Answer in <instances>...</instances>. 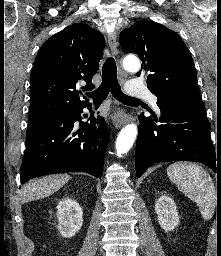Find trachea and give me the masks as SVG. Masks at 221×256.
<instances>
[{"label": "trachea", "mask_w": 221, "mask_h": 256, "mask_svg": "<svg viewBox=\"0 0 221 256\" xmlns=\"http://www.w3.org/2000/svg\"><path fill=\"white\" fill-rule=\"evenodd\" d=\"M111 92L115 99L120 102H134L139 99L125 95L117 80V67L113 58H108L102 67V83L92 92H87L86 95L93 99L95 103L103 101Z\"/></svg>", "instance_id": "obj_1"}]
</instances>
